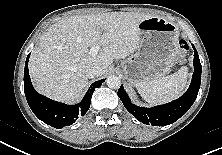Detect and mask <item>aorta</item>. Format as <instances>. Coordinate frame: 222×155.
Segmentation results:
<instances>
[{
    "label": "aorta",
    "instance_id": "1",
    "mask_svg": "<svg viewBox=\"0 0 222 155\" xmlns=\"http://www.w3.org/2000/svg\"><path fill=\"white\" fill-rule=\"evenodd\" d=\"M106 84L109 88L118 89L121 86V80L119 77L111 75L106 79Z\"/></svg>",
    "mask_w": 222,
    "mask_h": 155
}]
</instances>
